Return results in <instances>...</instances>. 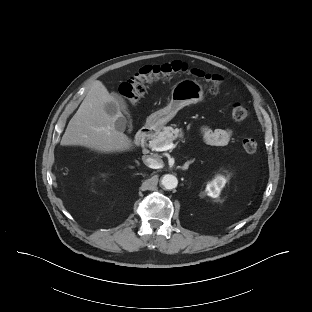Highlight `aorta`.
<instances>
[{"label": "aorta", "mask_w": 312, "mask_h": 312, "mask_svg": "<svg viewBox=\"0 0 312 312\" xmlns=\"http://www.w3.org/2000/svg\"><path fill=\"white\" fill-rule=\"evenodd\" d=\"M161 183L165 189L171 190L177 187L178 180L174 175L166 174L163 176Z\"/></svg>", "instance_id": "obj_1"}]
</instances>
